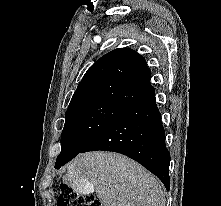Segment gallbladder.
Masks as SVG:
<instances>
[{
    "label": "gallbladder",
    "mask_w": 221,
    "mask_h": 206,
    "mask_svg": "<svg viewBox=\"0 0 221 206\" xmlns=\"http://www.w3.org/2000/svg\"><path fill=\"white\" fill-rule=\"evenodd\" d=\"M65 181L66 186H69V190H73V194H92L88 181H67L66 179Z\"/></svg>",
    "instance_id": "1"
}]
</instances>
